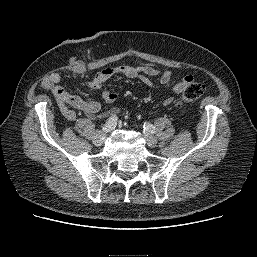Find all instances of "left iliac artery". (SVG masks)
I'll return each mask as SVG.
<instances>
[{
    "mask_svg": "<svg viewBox=\"0 0 257 257\" xmlns=\"http://www.w3.org/2000/svg\"><path fill=\"white\" fill-rule=\"evenodd\" d=\"M144 132L155 133V127L150 123H144Z\"/></svg>",
    "mask_w": 257,
    "mask_h": 257,
    "instance_id": "obj_1",
    "label": "left iliac artery"
}]
</instances>
